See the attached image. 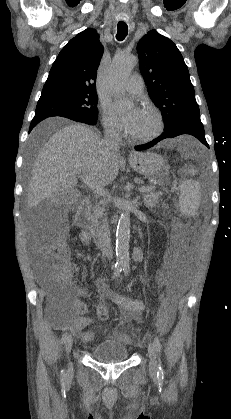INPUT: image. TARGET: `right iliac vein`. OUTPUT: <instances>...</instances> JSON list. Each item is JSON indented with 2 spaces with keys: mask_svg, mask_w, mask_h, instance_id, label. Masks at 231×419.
I'll return each mask as SVG.
<instances>
[{
  "mask_svg": "<svg viewBox=\"0 0 231 419\" xmlns=\"http://www.w3.org/2000/svg\"><path fill=\"white\" fill-rule=\"evenodd\" d=\"M72 345H73V337L70 335L68 336L66 342H65V349H66V353L69 355L72 349ZM69 368L72 367L71 362L69 361L68 363Z\"/></svg>",
  "mask_w": 231,
  "mask_h": 419,
  "instance_id": "obj_1",
  "label": "right iliac vein"
}]
</instances>
